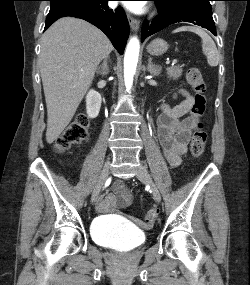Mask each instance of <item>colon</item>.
<instances>
[{"mask_svg": "<svg viewBox=\"0 0 250 285\" xmlns=\"http://www.w3.org/2000/svg\"><path fill=\"white\" fill-rule=\"evenodd\" d=\"M186 79L194 90V103L191 108V115L195 118L194 133L190 143V151L194 157H199L205 150L207 135L203 130L200 118L206 109V83L199 69L189 68L186 72ZM89 135V119L85 114H79L75 120L56 139L54 148L57 152H65L73 145L80 144L87 140ZM145 221L152 223L157 218V211L150 209L145 214Z\"/></svg>", "mask_w": 250, "mask_h": 285, "instance_id": "5ec220e1", "label": "colon"}]
</instances>
